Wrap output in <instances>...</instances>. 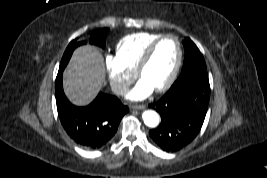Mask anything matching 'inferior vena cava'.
Returning <instances> with one entry per match:
<instances>
[{
  "mask_svg": "<svg viewBox=\"0 0 267 178\" xmlns=\"http://www.w3.org/2000/svg\"><path fill=\"white\" fill-rule=\"evenodd\" d=\"M129 90V86L127 84L117 83L112 86V91L115 94L122 95L124 93H127Z\"/></svg>",
  "mask_w": 267,
  "mask_h": 178,
  "instance_id": "obj_1",
  "label": "inferior vena cava"
}]
</instances>
